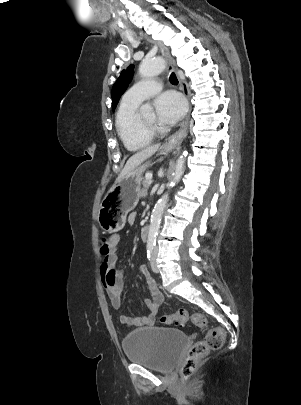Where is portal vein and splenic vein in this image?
I'll return each mask as SVG.
<instances>
[{
  "label": "portal vein and splenic vein",
  "mask_w": 301,
  "mask_h": 405,
  "mask_svg": "<svg viewBox=\"0 0 301 405\" xmlns=\"http://www.w3.org/2000/svg\"><path fill=\"white\" fill-rule=\"evenodd\" d=\"M145 178H147L148 180H151V179H152V174L147 173V174L145 175Z\"/></svg>",
  "instance_id": "1"
}]
</instances>
